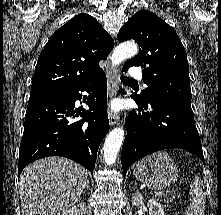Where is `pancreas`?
<instances>
[{
  "label": "pancreas",
  "mask_w": 221,
  "mask_h": 215,
  "mask_svg": "<svg viewBox=\"0 0 221 215\" xmlns=\"http://www.w3.org/2000/svg\"><path fill=\"white\" fill-rule=\"evenodd\" d=\"M164 202L167 204L166 206H169L170 200L168 198L164 199Z\"/></svg>",
  "instance_id": "obj_1"
}]
</instances>
